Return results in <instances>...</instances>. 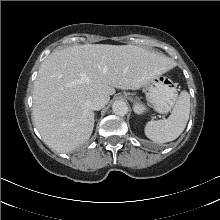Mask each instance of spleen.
<instances>
[{"instance_id": "spleen-1", "label": "spleen", "mask_w": 220, "mask_h": 220, "mask_svg": "<svg viewBox=\"0 0 220 220\" xmlns=\"http://www.w3.org/2000/svg\"><path fill=\"white\" fill-rule=\"evenodd\" d=\"M190 114V95L182 91L171 115L167 119L146 123L145 135L157 143H166L177 139L184 131Z\"/></svg>"}]
</instances>
